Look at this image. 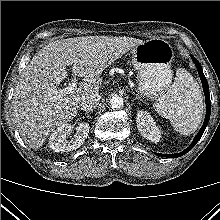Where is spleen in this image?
<instances>
[{"instance_id": "1", "label": "spleen", "mask_w": 220, "mask_h": 220, "mask_svg": "<svg viewBox=\"0 0 220 220\" xmlns=\"http://www.w3.org/2000/svg\"><path fill=\"white\" fill-rule=\"evenodd\" d=\"M155 111L171 121L182 135H190L199 127L204 112L200 85L188 71L180 68L175 81L153 105Z\"/></svg>"}]
</instances>
